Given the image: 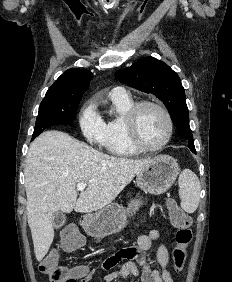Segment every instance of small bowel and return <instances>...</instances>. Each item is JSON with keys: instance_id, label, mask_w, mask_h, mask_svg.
Segmentation results:
<instances>
[{"instance_id": "small-bowel-1", "label": "small bowel", "mask_w": 232, "mask_h": 282, "mask_svg": "<svg viewBox=\"0 0 232 282\" xmlns=\"http://www.w3.org/2000/svg\"><path fill=\"white\" fill-rule=\"evenodd\" d=\"M152 247L156 248L157 269H152L147 263L146 254ZM133 260H136L140 267ZM168 266L169 251L158 230H151L148 234L138 236L136 246L118 251L100 265L103 270L113 269L103 276V282L117 281L130 275L139 276L141 282H174ZM94 273L95 270L88 271L84 267L81 282L90 281Z\"/></svg>"}]
</instances>
